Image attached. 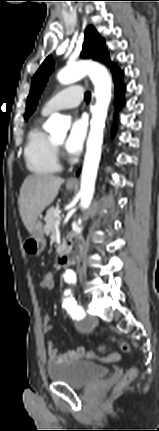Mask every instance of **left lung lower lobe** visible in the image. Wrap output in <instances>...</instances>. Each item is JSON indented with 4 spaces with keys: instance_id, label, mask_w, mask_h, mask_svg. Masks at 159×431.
Returning a JSON list of instances; mask_svg holds the SVG:
<instances>
[{
    "instance_id": "left-lung-lower-lobe-1",
    "label": "left lung lower lobe",
    "mask_w": 159,
    "mask_h": 431,
    "mask_svg": "<svg viewBox=\"0 0 159 431\" xmlns=\"http://www.w3.org/2000/svg\"><path fill=\"white\" fill-rule=\"evenodd\" d=\"M113 76L115 79V89H116V93H115V104L117 107H120L124 102H123V92L125 91V86L122 84V77H123V72H121L120 69L116 70L115 72H113ZM79 174V172H77V175Z\"/></svg>"
}]
</instances>
